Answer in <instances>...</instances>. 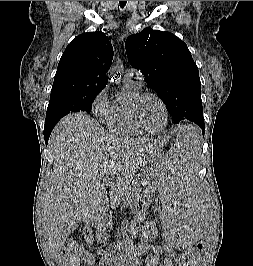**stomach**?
I'll list each match as a JSON object with an SVG mask.
<instances>
[{
    "label": "stomach",
    "instance_id": "stomach-1",
    "mask_svg": "<svg viewBox=\"0 0 253 266\" xmlns=\"http://www.w3.org/2000/svg\"><path fill=\"white\" fill-rule=\"evenodd\" d=\"M162 150L156 151L148 156L142 164V179L141 184L143 186V198L148 199L153 193L155 185H160L159 179L161 171L159 168V161L163 160ZM148 203H144L143 208L137 213L134 220L131 223L129 232L133 237L140 236L138 233L142 224L146 221Z\"/></svg>",
    "mask_w": 253,
    "mask_h": 266
}]
</instances>
